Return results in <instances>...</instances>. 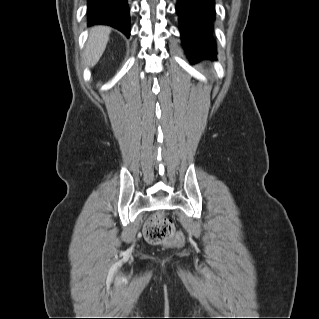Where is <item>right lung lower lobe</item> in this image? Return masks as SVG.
<instances>
[{"label": "right lung lower lobe", "instance_id": "1", "mask_svg": "<svg viewBox=\"0 0 319 319\" xmlns=\"http://www.w3.org/2000/svg\"><path fill=\"white\" fill-rule=\"evenodd\" d=\"M88 25L103 24L130 36V15L127 0H87Z\"/></svg>", "mask_w": 319, "mask_h": 319}]
</instances>
